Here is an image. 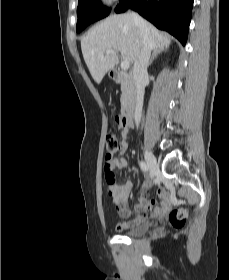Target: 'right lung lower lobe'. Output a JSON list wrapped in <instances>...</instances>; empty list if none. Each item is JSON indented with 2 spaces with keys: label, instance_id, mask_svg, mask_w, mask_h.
Instances as JSON below:
<instances>
[{
  "label": "right lung lower lobe",
  "instance_id": "right-lung-lower-lobe-1",
  "mask_svg": "<svg viewBox=\"0 0 229 280\" xmlns=\"http://www.w3.org/2000/svg\"><path fill=\"white\" fill-rule=\"evenodd\" d=\"M192 6L193 0H120L115 12L131 8L185 45Z\"/></svg>",
  "mask_w": 229,
  "mask_h": 280
}]
</instances>
